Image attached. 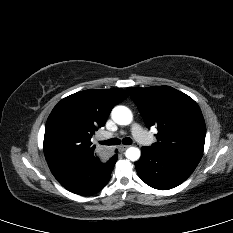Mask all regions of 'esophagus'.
I'll return each instance as SVG.
<instances>
[{
	"instance_id": "esophagus-1",
	"label": "esophagus",
	"mask_w": 233,
	"mask_h": 233,
	"mask_svg": "<svg viewBox=\"0 0 233 233\" xmlns=\"http://www.w3.org/2000/svg\"><path fill=\"white\" fill-rule=\"evenodd\" d=\"M128 147H129L128 145H120V146H118V150H119L120 152H123V151H125Z\"/></svg>"
}]
</instances>
